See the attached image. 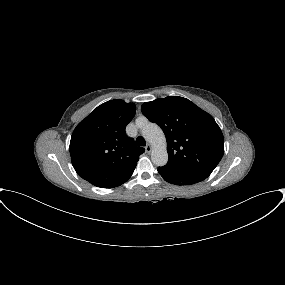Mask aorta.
<instances>
[{
	"mask_svg": "<svg viewBox=\"0 0 285 285\" xmlns=\"http://www.w3.org/2000/svg\"><path fill=\"white\" fill-rule=\"evenodd\" d=\"M141 129L143 137L152 145L151 160L157 166H164L168 161L166 138L162 129L155 123L149 122L146 118H139L136 121Z\"/></svg>",
	"mask_w": 285,
	"mask_h": 285,
	"instance_id": "1",
	"label": "aorta"
}]
</instances>
